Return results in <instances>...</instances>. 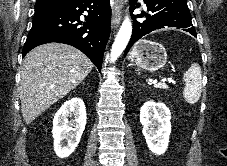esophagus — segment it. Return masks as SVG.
<instances>
[{
  "label": "esophagus",
  "instance_id": "1",
  "mask_svg": "<svg viewBox=\"0 0 227 166\" xmlns=\"http://www.w3.org/2000/svg\"><path fill=\"white\" fill-rule=\"evenodd\" d=\"M123 4H124V0H115L114 16L112 19L113 29L117 28L121 22Z\"/></svg>",
  "mask_w": 227,
  "mask_h": 166
}]
</instances>
